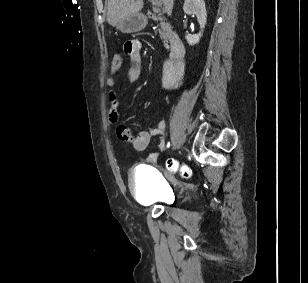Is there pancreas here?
I'll return each mask as SVG.
<instances>
[{"instance_id": "1", "label": "pancreas", "mask_w": 308, "mask_h": 283, "mask_svg": "<svg viewBox=\"0 0 308 283\" xmlns=\"http://www.w3.org/2000/svg\"><path fill=\"white\" fill-rule=\"evenodd\" d=\"M160 27L161 28L158 30L159 35L163 39L164 46L168 48V41H169V37H170V29L164 22H161Z\"/></svg>"}]
</instances>
